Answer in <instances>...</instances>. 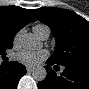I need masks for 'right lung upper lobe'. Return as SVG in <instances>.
Here are the masks:
<instances>
[{
    "instance_id": "cb5924a9",
    "label": "right lung upper lobe",
    "mask_w": 89,
    "mask_h": 89,
    "mask_svg": "<svg viewBox=\"0 0 89 89\" xmlns=\"http://www.w3.org/2000/svg\"><path fill=\"white\" fill-rule=\"evenodd\" d=\"M30 21H35L32 10L18 6L1 7L0 39L13 41L15 34Z\"/></svg>"
}]
</instances>
